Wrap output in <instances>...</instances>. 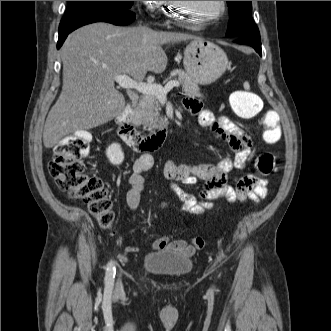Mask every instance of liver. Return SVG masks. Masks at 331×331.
Returning a JSON list of instances; mask_svg holds the SVG:
<instances>
[{
  "mask_svg": "<svg viewBox=\"0 0 331 331\" xmlns=\"http://www.w3.org/2000/svg\"><path fill=\"white\" fill-rule=\"evenodd\" d=\"M192 39L197 37L106 23L90 24L71 33L60 52L63 86L45 122L44 146L52 148L74 131L114 119L125 107L114 77L126 74L143 82L147 72L166 69L168 58L162 44Z\"/></svg>",
  "mask_w": 331,
  "mask_h": 331,
  "instance_id": "liver-1",
  "label": "liver"
}]
</instances>
